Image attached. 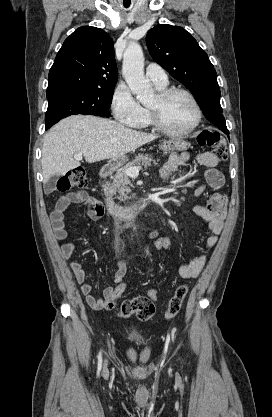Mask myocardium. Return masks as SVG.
<instances>
[{
  "label": "myocardium",
  "mask_w": 272,
  "mask_h": 417,
  "mask_svg": "<svg viewBox=\"0 0 272 417\" xmlns=\"http://www.w3.org/2000/svg\"><path fill=\"white\" fill-rule=\"evenodd\" d=\"M178 94H182L186 96L191 101L195 109V113H196L195 121L188 129L184 131H173L163 124L160 118L159 111L157 109H153L149 107L148 113H149V118H150V122L152 126L155 129H157L159 132L169 135V136H173V137H184L194 132L200 125L201 120H202V109L196 97L190 91L184 88H178V87L165 88L159 92L158 98L160 99L161 102H165L171 97H173L174 95H178Z\"/></svg>",
  "instance_id": "obj_1"
}]
</instances>
